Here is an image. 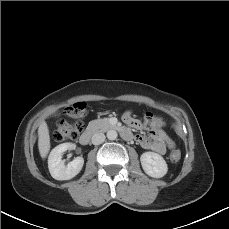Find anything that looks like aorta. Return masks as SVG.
I'll return each instance as SVG.
<instances>
[{
  "label": "aorta",
  "mask_w": 229,
  "mask_h": 229,
  "mask_svg": "<svg viewBox=\"0 0 229 229\" xmlns=\"http://www.w3.org/2000/svg\"><path fill=\"white\" fill-rule=\"evenodd\" d=\"M117 136H118V134H117V132L115 130H109L107 132V138L109 140H115L117 138Z\"/></svg>",
  "instance_id": "obj_1"
}]
</instances>
